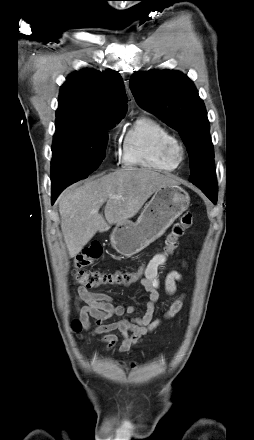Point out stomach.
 Instances as JSON below:
<instances>
[{
    "label": "stomach",
    "mask_w": 254,
    "mask_h": 440,
    "mask_svg": "<svg viewBox=\"0 0 254 440\" xmlns=\"http://www.w3.org/2000/svg\"><path fill=\"white\" fill-rule=\"evenodd\" d=\"M188 193L177 185L158 188L136 222L117 224L110 235L112 247L121 255L133 256L156 239L187 210Z\"/></svg>",
    "instance_id": "obj_1"
}]
</instances>
